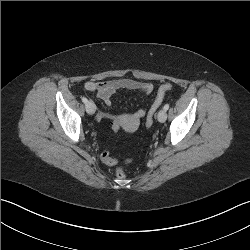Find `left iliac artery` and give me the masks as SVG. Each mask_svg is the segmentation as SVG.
<instances>
[{
  "instance_id": "1",
  "label": "left iliac artery",
  "mask_w": 250,
  "mask_h": 250,
  "mask_svg": "<svg viewBox=\"0 0 250 250\" xmlns=\"http://www.w3.org/2000/svg\"><path fill=\"white\" fill-rule=\"evenodd\" d=\"M168 109H169V104H166V105L164 106V110L167 111Z\"/></svg>"
}]
</instances>
